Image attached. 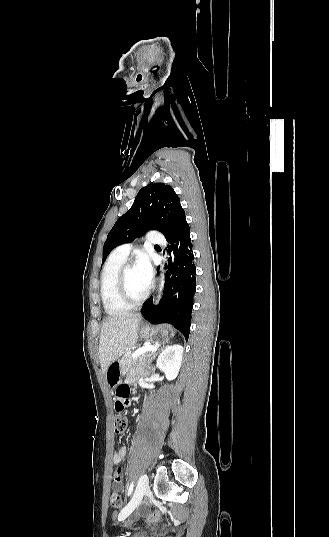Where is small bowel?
Instances as JSON below:
<instances>
[{
	"mask_svg": "<svg viewBox=\"0 0 329 537\" xmlns=\"http://www.w3.org/2000/svg\"><path fill=\"white\" fill-rule=\"evenodd\" d=\"M131 394L130 391V383L128 381H119L117 383V389L115 391L114 395V402H115V409L119 412H125L129 408V396ZM126 447L121 446L118 448L114 455H113V462L114 464H119L124 459L126 455ZM113 484L114 487L117 490H121L123 487V474L122 470L120 468L116 469L113 474Z\"/></svg>",
	"mask_w": 329,
	"mask_h": 537,
	"instance_id": "obj_1",
	"label": "small bowel"
}]
</instances>
